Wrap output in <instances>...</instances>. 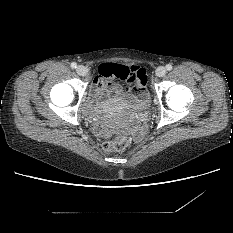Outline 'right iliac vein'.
<instances>
[{"instance_id": "obj_1", "label": "right iliac vein", "mask_w": 233, "mask_h": 233, "mask_svg": "<svg viewBox=\"0 0 233 233\" xmlns=\"http://www.w3.org/2000/svg\"><path fill=\"white\" fill-rule=\"evenodd\" d=\"M76 72L78 75L80 76H85L86 73H87V69L83 66V65H79L77 68H76Z\"/></svg>"}]
</instances>
